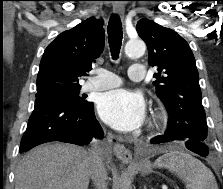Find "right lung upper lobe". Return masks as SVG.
Listing matches in <instances>:
<instances>
[{
  "label": "right lung upper lobe",
  "instance_id": "1",
  "mask_svg": "<svg viewBox=\"0 0 223 189\" xmlns=\"http://www.w3.org/2000/svg\"><path fill=\"white\" fill-rule=\"evenodd\" d=\"M103 21L94 17L59 34L45 49L40 62L37 92L81 87L78 83L104 49Z\"/></svg>",
  "mask_w": 223,
  "mask_h": 189
}]
</instances>
